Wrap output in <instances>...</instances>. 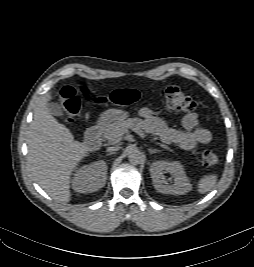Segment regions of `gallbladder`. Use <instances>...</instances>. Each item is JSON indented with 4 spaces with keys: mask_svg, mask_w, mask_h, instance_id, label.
<instances>
[{
    "mask_svg": "<svg viewBox=\"0 0 254 267\" xmlns=\"http://www.w3.org/2000/svg\"><path fill=\"white\" fill-rule=\"evenodd\" d=\"M47 108H48L49 112L54 116H62L63 115V111H62L60 105L57 103H53V102L48 103Z\"/></svg>",
    "mask_w": 254,
    "mask_h": 267,
    "instance_id": "obj_1",
    "label": "gallbladder"
}]
</instances>
